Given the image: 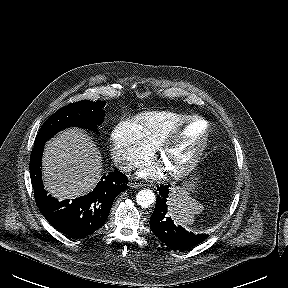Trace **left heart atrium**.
I'll list each match as a JSON object with an SVG mask.
<instances>
[{
	"label": "left heart atrium",
	"instance_id": "39dd6f15",
	"mask_svg": "<svg viewBox=\"0 0 288 288\" xmlns=\"http://www.w3.org/2000/svg\"><path fill=\"white\" fill-rule=\"evenodd\" d=\"M156 173H157L156 167H155V166H152V167H150V168H147V169L142 170V171L140 172V175L146 177V176H152V175H154V174H156Z\"/></svg>",
	"mask_w": 288,
	"mask_h": 288
}]
</instances>
